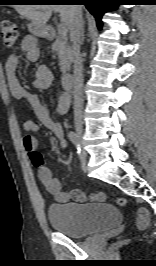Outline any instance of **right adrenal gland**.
<instances>
[{
  "instance_id": "right-adrenal-gland-1",
  "label": "right adrenal gland",
  "mask_w": 156,
  "mask_h": 266,
  "mask_svg": "<svg viewBox=\"0 0 156 266\" xmlns=\"http://www.w3.org/2000/svg\"><path fill=\"white\" fill-rule=\"evenodd\" d=\"M84 24H85V22L83 21L82 22V29H81V42L84 41Z\"/></svg>"
}]
</instances>
